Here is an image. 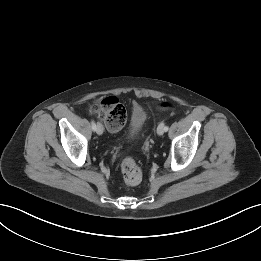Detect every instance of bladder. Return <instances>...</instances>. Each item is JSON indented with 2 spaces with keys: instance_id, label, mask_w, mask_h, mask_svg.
Listing matches in <instances>:
<instances>
[{
  "instance_id": "bladder-1",
  "label": "bladder",
  "mask_w": 261,
  "mask_h": 261,
  "mask_svg": "<svg viewBox=\"0 0 261 261\" xmlns=\"http://www.w3.org/2000/svg\"><path fill=\"white\" fill-rule=\"evenodd\" d=\"M147 122V112L143 107L136 105L132 108L129 126L127 130V138H137L143 131Z\"/></svg>"
}]
</instances>
